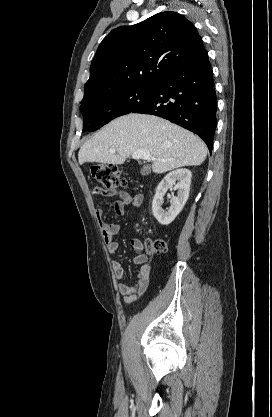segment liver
Instances as JSON below:
<instances>
[{
	"label": "liver",
	"mask_w": 272,
	"mask_h": 417,
	"mask_svg": "<svg viewBox=\"0 0 272 417\" xmlns=\"http://www.w3.org/2000/svg\"><path fill=\"white\" fill-rule=\"evenodd\" d=\"M138 150H147L157 159L152 164L156 174L201 165L207 156L204 142L190 131L160 117L131 113L111 121L87 140L78 160L80 165H121Z\"/></svg>",
	"instance_id": "obj_1"
}]
</instances>
